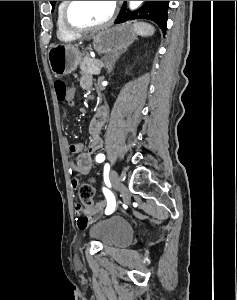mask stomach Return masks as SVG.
<instances>
[{"mask_svg": "<svg viewBox=\"0 0 237 300\" xmlns=\"http://www.w3.org/2000/svg\"><path fill=\"white\" fill-rule=\"evenodd\" d=\"M92 45L97 53H116L131 45L136 39L135 31L130 23L100 29L91 35ZM86 51H79L73 45H53L48 51L50 69L56 77H64L75 71L81 63Z\"/></svg>", "mask_w": 237, "mask_h": 300, "instance_id": "0dacf381", "label": "stomach"}]
</instances>
